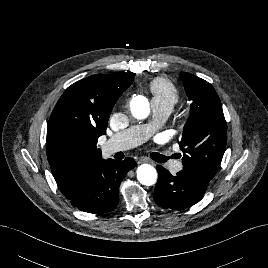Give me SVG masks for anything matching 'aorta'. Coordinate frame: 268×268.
I'll return each instance as SVG.
<instances>
[{"label":"aorta","instance_id":"aorta-1","mask_svg":"<svg viewBox=\"0 0 268 268\" xmlns=\"http://www.w3.org/2000/svg\"><path fill=\"white\" fill-rule=\"evenodd\" d=\"M131 113L136 119H145L150 114L149 101L144 96H136L132 99ZM137 179L145 186H151L157 181V171L150 164H142L137 168Z\"/></svg>","mask_w":268,"mask_h":268}]
</instances>
